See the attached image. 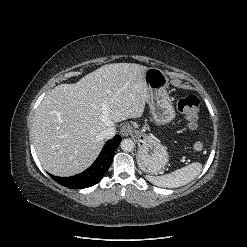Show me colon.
Listing matches in <instances>:
<instances>
[{
    "label": "colon",
    "mask_w": 247,
    "mask_h": 247,
    "mask_svg": "<svg viewBox=\"0 0 247 247\" xmlns=\"http://www.w3.org/2000/svg\"><path fill=\"white\" fill-rule=\"evenodd\" d=\"M177 108L183 116L186 126L193 130L197 126L199 113V99L194 95H189L180 99L177 103ZM204 149L202 141L198 140L193 144V151L200 153Z\"/></svg>",
    "instance_id": "1"
}]
</instances>
